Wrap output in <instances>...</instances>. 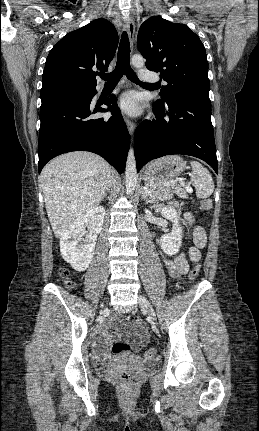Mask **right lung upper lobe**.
Returning a JSON list of instances; mask_svg holds the SVG:
<instances>
[{"label":"right lung upper lobe","instance_id":"1","mask_svg":"<svg viewBox=\"0 0 259 431\" xmlns=\"http://www.w3.org/2000/svg\"><path fill=\"white\" fill-rule=\"evenodd\" d=\"M118 45L112 23L96 19L65 35L48 54L42 89L68 85L78 89L96 88V72L107 71Z\"/></svg>","mask_w":259,"mask_h":431}]
</instances>
